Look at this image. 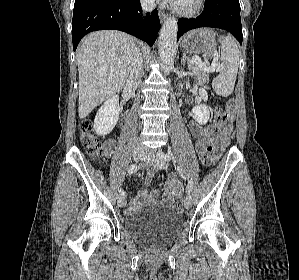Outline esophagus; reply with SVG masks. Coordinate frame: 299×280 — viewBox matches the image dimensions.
<instances>
[{"label":"esophagus","instance_id":"34e87169","mask_svg":"<svg viewBox=\"0 0 299 280\" xmlns=\"http://www.w3.org/2000/svg\"><path fill=\"white\" fill-rule=\"evenodd\" d=\"M159 18L161 21H164L167 18V14L162 11H159Z\"/></svg>","mask_w":299,"mask_h":280}]
</instances>
